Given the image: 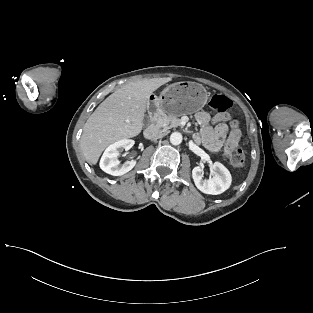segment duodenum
Returning <instances> with one entry per match:
<instances>
[{
    "label": "duodenum",
    "instance_id": "1",
    "mask_svg": "<svg viewBox=\"0 0 313 313\" xmlns=\"http://www.w3.org/2000/svg\"><path fill=\"white\" fill-rule=\"evenodd\" d=\"M157 134H158V127L156 125V117H153L151 119L150 125L145 130V136L148 139H153L157 136Z\"/></svg>",
    "mask_w": 313,
    "mask_h": 313
}]
</instances>
